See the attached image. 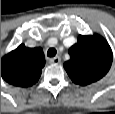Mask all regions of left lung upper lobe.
Segmentation results:
<instances>
[{
    "mask_svg": "<svg viewBox=\"0 0 115 114\" xmlns=\"http://www.w3.org/2000/svg\"><path fill=\"white\" fill-rule=\"evenodd\" d=\"M68 52L71 58L64 63V68L71 80L82 86L105 76L113 60L108 42L98 34L79 35Z\"/></svg>",
    "mask_w": 115,
    "mask_h": 114,
    "instance_id": "left-lung-upper-lobe-1",
    "label": "left lung upper lobe"
}]
</instances>
